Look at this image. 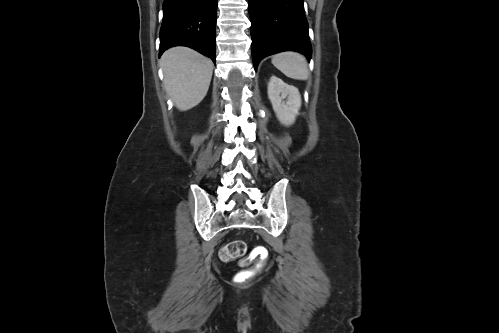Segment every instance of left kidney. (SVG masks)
Returning a JSON list of instances; mask_svg holds the SVG:
<instances>
[{"label":"left kidney","instance_id":"1","mask_svg":"<svg viewBox=\"0 0 499 333\" xmlns=\"http://www.w3.org/2000/svg\"><path fill=\"white\" fill-rule=\"evenodd\" d=\"M268 97L280 122L286 126L293 124L296 110L301 107L298 89L272 76L268 84Z\"/></svg>","mask_w":499,"mask_h":333}]
</instances>
